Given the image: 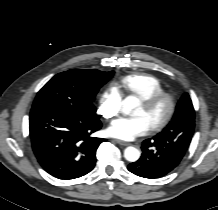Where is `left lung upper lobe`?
<instances>
[{
    "instance_id": "left-lung-upper-lobe-1",
    "label": "left lung upper lobe",
    "mask_w": 218,
    "mask_h": 210,
    "mask_svg": "<svg viewBox=\"0 0 218 210\" xmlns=\"http://www.w3.org/2000/svg\"><path fill=\"white\" fill-rule=\"evenodd\" d=\"M195 111L192 101L187 93H185L177 107L171 122L167 127L154 138L162 139L168 144L179 143L187 149L194 133Z\"/></svg>"
}]
</instances>
